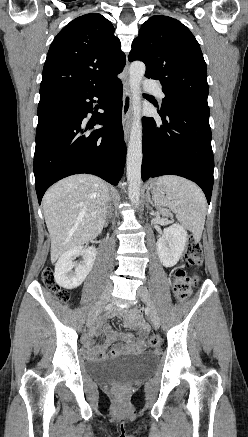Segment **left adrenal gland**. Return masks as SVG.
Returning a JSON list of instances; mask_svg holds the SVG:
<instances>
[{
    "label": "left adrenal gland",
    "mask_w": 248,
    "mask_h": 437,
    "mask_svg": "<svg viewBox=\"0 0 248 437\" xmlns=\"http://www.w3.org/2000/svg\"><path fill=\"white\" fill-rule=\"evenodd\" d=\"M146 199H147V201H148L152 206H154L153 202L151 201V198H150L149 192H147V194H146Z\"/></svg>",
    "instance_id": "a2214340"
}]
</instances>
